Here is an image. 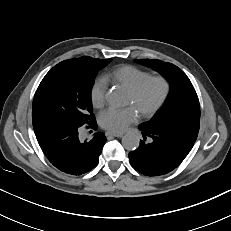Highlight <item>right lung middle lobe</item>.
Segmentation results:
<instances>
[{
    "label": "right lung middle lobe",
    "mask_w": 231,
    "mask_h": 231,
    "mask_svg": "<svg viewBox=\"0 0 231 231\" xmlns=\"http://www.w3.org/2000/svg\"><path fill=\"white\" fill-rule=\"evenodd\" d=\"M110 61L83 56L62 61L53 67L35 93L33 127L61 123L79 128L93 123L91 86L97 71Z\"/></svg>",
    "instance_id": "obj_1"
}]
</instances>
